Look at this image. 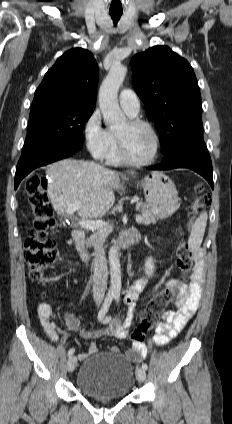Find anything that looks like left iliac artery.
Instances as JSON below:
<instances>
[{
    "instance_id": "left-iliac-artery-1",
    "label": "left iliac artery",
    "mask_w": 232,
    "mask_h": 424,
    "mask_svg": "<svg viewBox=\"0 0 232 424\" xmlns=\"http://www.w3.org/2000/svg\"><path fill=\"white\" fill-rule=\"evenodd\" d=\"M119 299H120V294H118V293L115 294V300H116L117 303L119 302ZM130 311H132V309H130ZM142 368L145 369V370H147V368H148L147 364L146 363H143L142 364Z\"/></svg>"
}]
</instances>
